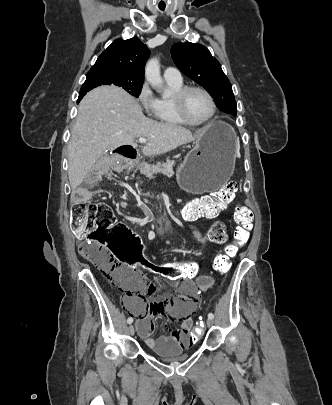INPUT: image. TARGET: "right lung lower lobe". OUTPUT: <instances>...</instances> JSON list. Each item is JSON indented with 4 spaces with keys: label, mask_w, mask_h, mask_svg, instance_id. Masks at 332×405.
I'll return each instance as SVG.
<instances>
[{
    "label": "right lung lower lobe",
    "mask_w": 332,
    "mask_h": 405,
    "mask_svg": "<svg viewBox=\"0 0 332 405\" xmlns=\"http://www.w3.org/2000/svg\"><path fill=\"white\" fill-rule=\"evenodd\" d=\"M88 91L80 92L79 93V98H78V103L79 101L83 98V96L87 93Z\"/></svg>",
    "instance_id": "right-lung-lower-lobe-1"
}]
</instances>
